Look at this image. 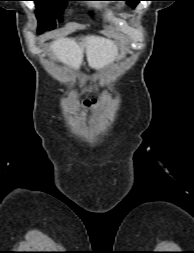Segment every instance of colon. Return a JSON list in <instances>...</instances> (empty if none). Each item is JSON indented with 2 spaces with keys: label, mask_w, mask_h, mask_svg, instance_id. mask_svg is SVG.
Wrapping results in <instances>:
<instances>
[{
  "label": "colon",
  "mask_w": 194,
  "mask_h": 253,
  "mask_svg": "<svg viewBox=\"0 0 194 253\" xmlns=\"http://www.w3.org/2000/svg\"><path fill=\"white\" fill-rule=\"evenodd\" d=\"M95 100H86L83 102L84 107H90L91 105L95 104Z\"/></svg>",
  "instance_id": "colon-1"
}]
</instances>
